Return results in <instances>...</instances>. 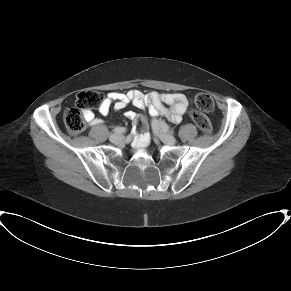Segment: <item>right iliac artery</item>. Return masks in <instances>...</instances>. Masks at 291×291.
I'll use <instances>...</instances> for the list:
<instances>
[{
	"instance_id": "right-iliac-artery-1",
	"label": "right iliac artery",
	"mask_w": 291,
	"mask_h": 291,
	"mask_svg": "<svg viewBox=\"0 0 291 291\" xmlns=\"http://www.w3.org/2000/svg\"><path fill=\"white\" fill-rule=\"evenodd\" d=\"M126 131V129L125 128H123V127H117V128H115L114 130H113V132L114 133H124Z\"/></svg>"
}]
</instances>
